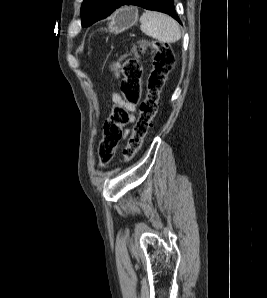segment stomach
<instances>
[{
  "mask_svg": "<svg viewBox=\"0 0 267 298\" xmlns=\"http://www.w3.org/2000/svg\"><path fill=\"white\" fill-rule=\"evenodd\" d=\"M138 21V11L134 7H122L116 10L110 16L108 23V30L110 33H121L132 26Z\"/></svg>",
  "mask_w": 267,
  "mask_h": 298,
  "instance_id": "stomach-1",
  "label": "stomach"
}]
</instances>
